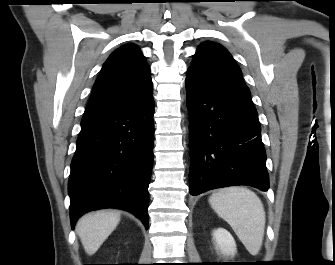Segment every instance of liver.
<instances>
[{"label": "liver", "mask_w": 335, "mask_h": 265, "mask_svg": "<svg viewBox=\"0 0 335 265\" xmlns=\"http://www.w3.org/2000/svg\"><path fill=\"white\" fill-rule=\"evenodd\" d=\"M120 221V213L100 210L84 215L76 225L85 252L93 255L114 231Z\"/></svg>", "instance_id": "6515ba94"}]
</instances>
